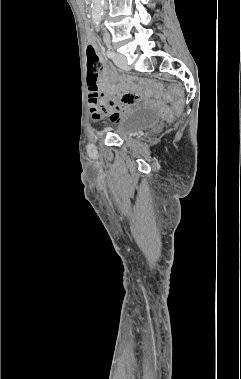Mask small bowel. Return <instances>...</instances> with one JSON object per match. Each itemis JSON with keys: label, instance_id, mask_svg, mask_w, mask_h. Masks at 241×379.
<instances>
[{"label": "small bowel", "instance_id": "small-bowel-1", "mask_svg": "<svg viewBox=\"0 0 241 379\" xmlns=\"http://www.w3.org/2000/svg\"><path fill=\"white\" fill-rule=\"evenodd\" d=\"M99 85L97 83L89 84V92L86 96L89 113L96 121L101 120L104 115H109L108 124L118 125L122 111L129 110L139 102V92L111 74L105 66L101 69ZM109 92H117L119 97L117 99L106 98L105 94Z\"/></svg>", "mask_w": 241, "mask_h": 379}]
</instances>
